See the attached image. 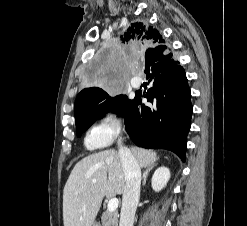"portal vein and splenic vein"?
Instances as JSON below:
<instances>
[{"label":"portal vein and splenic vein","mask_w":247,"mask_h":226,"mask_svg":"<svg viewBox=\"0 0 247 226\" xmlns=\"http://www.w3.org/2000/svg\"><path fill=\"white\" fill-rule=\"evenodd\" d=\"M94 183H96V180H93ZM118 199L117 198H112L110 199L108 206H107V210L109 212H115L118 208Z\"/></svg>","instance_id":"obj_1"}]
</instances>
